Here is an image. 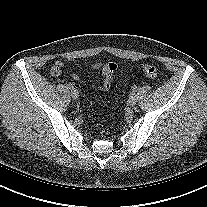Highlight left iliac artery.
<instances>
[{
    "label": "left iliac artery",
    "mask_w": 207,
    "mask_h": 207,
    "mask_svg": "<svg viewBox=\"0 0 207 207\" xmlns=\"http://www.w3.org/2000/svg\"><path fill=\"white\" fill-rule=\"evenodd\" d=\"M132 91L133 92L137 91V87L136 86L132 87Z\"/></svg>",
    "instance_id": "1"
}]
</instances>
